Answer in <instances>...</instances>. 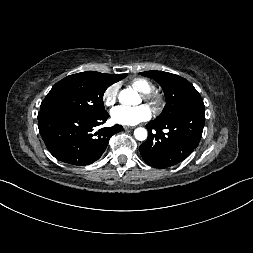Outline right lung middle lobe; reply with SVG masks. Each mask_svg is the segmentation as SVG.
<instances>
[{"label": "right lung middle lobe", "instance_id": "obj_1", "mask_svg": "<svg viewBox=\"0 0 253 253\" xmlns=\"http://www.w3.org/2000/svg\"><path fill=\"white\" fill-rule=\"evenodd\" d=\"M108 74L86 71L57 82L42 101L40 111H65L90 116L104 112L103 94L115 83Z\"/></svg>", "mask_w": 253, "mask_h": 253}]
</instances>
